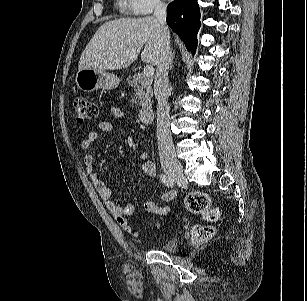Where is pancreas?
<instances>
[{"label": "pancreas", "instance_id": "pancreas-1", "mask_svg": "<svg viewBox=\"0 0 307 301\" xmlns=\"http://www.w3.org/2000/svg\"><path fill=\"white\" fill-rule=\"evenodd\" d=\"M128 85L135 89L133 103L140 106L143 101H151L152 91V79L146 77L144 74H135L130 76L127 80Z\"/></svg>", "mask_w": 307, "mask_h": 301}]
</instances>
